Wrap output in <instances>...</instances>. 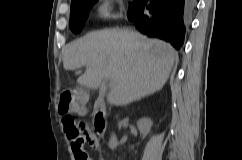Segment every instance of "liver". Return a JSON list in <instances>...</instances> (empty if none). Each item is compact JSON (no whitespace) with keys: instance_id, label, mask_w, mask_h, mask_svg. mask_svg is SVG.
<instances>
[{"instance_id":"obj_1","label":"liver","mask_w":242,"mask_h":160,"mask_svg":"<svg viewBox=\"0 0 242 160\" xmlns=\"http://www.w3.org/2000/svg\"><path fill=\"white\" fill-rule=\"evenodd\" d=\"M177 58L175 49L163 41L128 29L106 30L71 43L63 66L65 70L85 66L77 83L89 89H98L110 77L114 86L107 101L123 106L162 89Z\"/></svg>"}]
</instances>
